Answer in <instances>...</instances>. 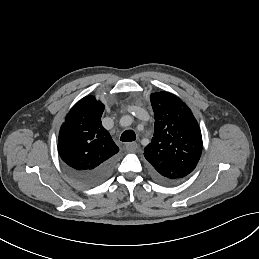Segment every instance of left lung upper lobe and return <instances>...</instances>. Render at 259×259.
Wrapping results in <instances>:
<instances>
[{"label": "left lung upper lobe", "instance_id": "5c2ea615", "mask_svg": "<svg viewBox=\"0 0 259 259\" xmlns=\"http://www.w3.org/2000/svg\"><path fill=\"white\" fill-rule=\"evenodd\" d=\"M154 111V137L144 149L152 172L177 182L196 167L202 153L199 125L189 107L168 92L151 95Z\"/></svg>", "mask_w": 259, "mask_h": 259}]
</instances>
